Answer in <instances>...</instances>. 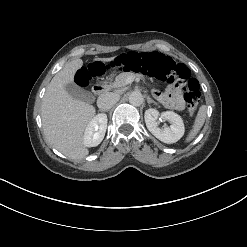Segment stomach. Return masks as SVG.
Listing matches in <instances>:
<instances>
[{
	"label": "stomach",
	"instance_id": "1",
	"mask_svg": "<svg viewBox=\"0 0 247 247\" xmlns=\"http://www.w3.org/2000/svg\"><path fill=\"white\" fill-rule=\"evenodd\" d=\"M112 77H113V76H111L109 79L112 80Z\"/></svg>",
	"mask_w": 247,
	"mask_h": 247
}]
</instances>
